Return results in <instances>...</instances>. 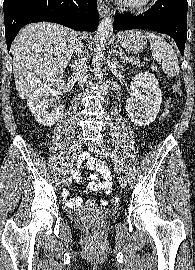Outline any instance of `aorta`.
I'll return each instance as SVG.
<instances>
[{
	"label": "aorta",
	"mask_w": 195,
	"mask_h": 270,
	"mask_svg": "<svg viewBox=\"0 0 195 270\" xmlns=\"http://www.w3.org/2000/svg\"><path fill=\"white\" fill-rule=\"evenodd\" d=\"M113 30V18L105 16L100 22L96 35L94 45V55L92 59L94 74L100 80L102 78L101 62L104 59V51L107 44V39Z\"/></svg>",
	"instance_id": "aorta-1"
}]
</instances>
